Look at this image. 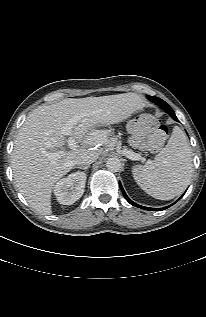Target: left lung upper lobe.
Instances as JSON below:
<instances>
[{"label":"left lung upper lobe","mask_w":206,"mask_h":317,"mask_svg":"<svg viewBox=\"0 0 206 317\" xmlns=\"http://www.w3.org/2000/svg\"><path fill=\"white\" fill-rule=\"evenodd\" d=\"M150 99H152V102L157 103L159 106H161L163 109L167 111H173L172 108L162 99L155 97V96H148Z\"/></svg>","instance_id":"obj_1"}]
</instances>
